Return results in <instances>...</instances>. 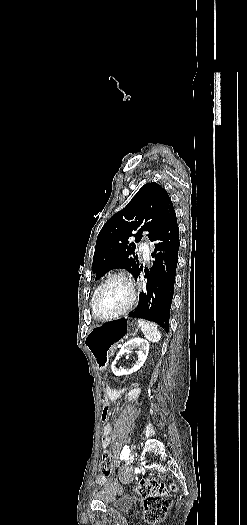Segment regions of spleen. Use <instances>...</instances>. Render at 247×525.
<instances>
[{
	"label": "spleen",
	"mask_w": 247,
	"mask_h": 525,
	"mask_svg": "<svg viewBox=\"0 0 247 525\" xmlns=\"http://www.w3.org/2000/svg\"><path fill=\"white\" fill-rule=\"evenodd\" d=\"M138 327H140L143 335H145L146 339L151 341V343H159V341H161V333L158 331V325H156V323L139 319Z\"/></svg>",
	"instance_id": "obj_1"
}]
</instances>
